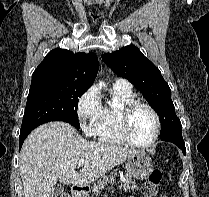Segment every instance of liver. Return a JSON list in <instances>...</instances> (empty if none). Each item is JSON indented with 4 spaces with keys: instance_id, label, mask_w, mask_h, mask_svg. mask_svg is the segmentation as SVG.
<instances>
[{
    "instance_id": "obj_1",
    "label": "liver",
    "mask_w": 209,
    "mask_h": 197,
    "mask_svg": "<svg viewBox=\"0 0 209 197\" xmlns=\"http://www.w3.org/2000/svg\"><path fill=\"white\" fill-rule=\"evenodd\" d=\"M139 152L89 142L62 121L42 124L26 138L19 156L24 197H52L58 180L64 184L88 185ZM81 159L85 164L77 172Z\"/></svg>"
}]
</instances>
